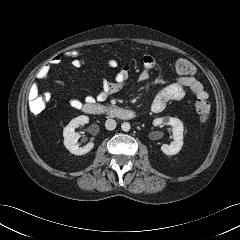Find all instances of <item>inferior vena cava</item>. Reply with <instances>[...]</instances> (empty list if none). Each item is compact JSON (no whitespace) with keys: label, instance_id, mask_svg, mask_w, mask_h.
I'll return each instance as SVG.
<instances>
[{"label":"inferior vena cava","instance_id":"inferior-vena-cava-1","mask_svg":"<svg viewBox=\"0 0 240 240\" xmlns=\"http://www.w3.org/2000/svg\"><path fill=\"white\" fill-rule=\"evenodd\" d=\"M105 127L107 130H114L116 128V121L114 119H107Z\"/></svg>","mask_w":240,"mask_h":240}]
</instances>
